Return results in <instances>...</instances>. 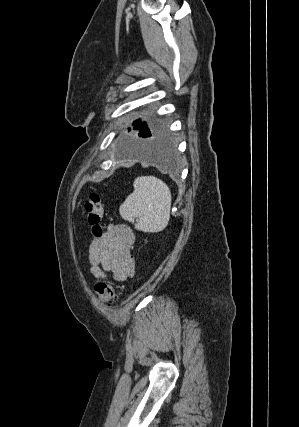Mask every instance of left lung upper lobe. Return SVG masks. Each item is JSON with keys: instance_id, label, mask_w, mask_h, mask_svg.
Listing matches in <instances>:
<instances>
[{"instance_id": "5c2ea615", "label": "left lung upper lobe", "mask_w": 299, "mask_h": 427, "mask_svg": "<svg viewBox=\"0 0 299 427\" xmlns=\"http://www.w3.org/2000/svg\"><path fill=\"white\" fill-rule=\"evenodd\" d=\"M133 124L135 126L134 129L139 131L138 136L142 138H145L146 134L150 133V131L153 129L152 127H148L146 122H141L140 119L134 121ZM129 130L131 129L129 128Z\"/></svg>"}]
</instances>
